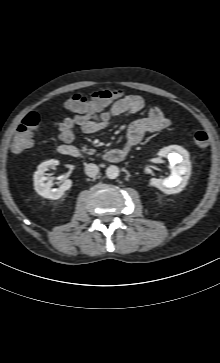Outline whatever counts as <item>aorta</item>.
I'll return each mask as SVG.
<instances>
[{"mask_svg":"<svg viewBox=\"0 0 220 363\" xmlns=\"http://www.w3.org/2000/svg\"><path fill=\"white\" fill-rule=\"evenodd\" d=\"M106 176L109 179H116L119 176V168L115 165H111L106 169Z\"/></svg>","mask_w":220,"mask_h":363,"instance_id":"762f6f07","label":"aorta"}]
</instances>
